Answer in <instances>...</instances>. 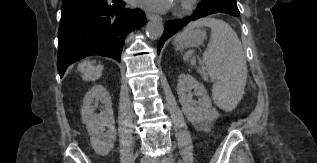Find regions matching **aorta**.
Instances as JSON below:
<instances>
[{
	"mask_svg": "<svg viewBox=\"0 0 317 163\" xmlns=\"http://www.w3.org/2000/svg\"><path fill=\"white\" fill-rule=\"evenodd\" d=\"M164 31L162 19L156 17L152 19L146 26V34L150 39L156 40L160 38Z\"/></svg>",
	"mask_w": 317,
	"mask_h": 163,
	"instance_id": "aorta-1",
	"label": "aorta"
}]
</instances>
